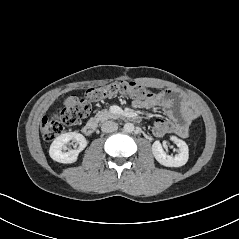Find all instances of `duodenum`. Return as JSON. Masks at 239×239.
<instances>
[{"label": "duodenum", "instance_id": "1", "mask_svg": "<svg viewBox=\"0 0 239 239\" xmlns=\"http://www.w3.org/2000/svg\"><path fill=\"white\" fill-rule=\"evenodd\" d=\"M127 118L131 121L138 122L140 121V117L136 114H129ZM98 128V120L97 119H91L89 120L82 128V132L85 135H92L95 133V131Z\"/></svg>", "mask_w": 239, "mask_h": 239}]
</instances>
